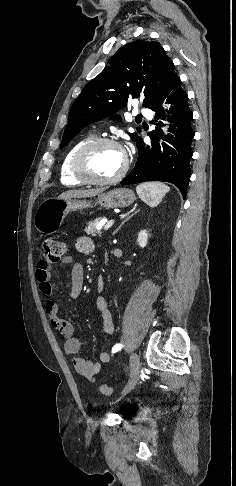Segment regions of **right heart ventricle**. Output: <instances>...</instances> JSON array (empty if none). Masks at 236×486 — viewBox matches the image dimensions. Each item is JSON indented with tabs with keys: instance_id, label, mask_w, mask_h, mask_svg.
<instances>
[{
	"instance_id": "1",
	"label": "right heart ventricle",
	"mask_w": 236,
	"mask_h": 486,
	"mask_svg": "<svg viewBox=\"0 0 236 486\" xmlns=\"http://www.w3.org/2000/svg\"><path fill=\"white\" fill-rule=\"evenodd\" d=\"M90 139H92L91 136H85L77 140L67 151L60 167V180L62 184L66 186H72V187L80 186L84 184L73 175L71 170V163L76 151Z\"/></svg>"
}]
</instances>
